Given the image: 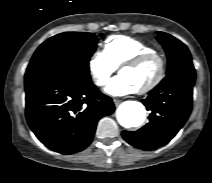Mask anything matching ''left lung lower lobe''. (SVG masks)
I'll use <instances>...</instances> for the list:
<instances>
[{
    "mask_svg": "<svg viewBox=\"0 0 212 183\" xmlns=\"http://www.w3.org/2000/svg\"><path fill=\"white\" fill-rule=\"evenodd\" d=\"M195 77L191 60L169 71L148 97L142 100L151 111L149 123L134 132L123 131V138L143 150H154L167 144L190 115Z\"/></svg>",
    "mask_w": 212,
    "mask_h": 183,
    "instance_id": "left-lung-lower-lobe-1",
    "label": "left lung lower lobe"
}]
</instances>
